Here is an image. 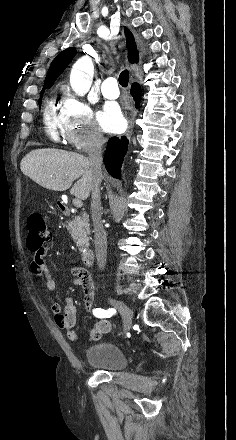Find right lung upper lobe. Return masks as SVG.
<instances>
[{
	"label": "right lung upper lobe",
	"instance_id": "right-lung-upper-lobe-1",
	"mask_svg": "<svg viewBox=\"0 0 236 440\" xmlns=\"http://www.w3.org/2000/svg\"><path fill=\"white\" fill-rule=\"evenodd\" d=\"M124 32L126 35V44L128 45V61L130 63H138L139 61V51L137 49V45L134 39L132 32L124 27ZM76 50L75 48H67L66 50L59 53L56 58L53 60L50 68L48 70L47 76L44 82V88L41 91V95H43L44 89L49 86L51 87L57 77L63 72V70L70 63L72 58L75 56Z\"/></svg>",
	"mask_w": 236,
	"mask_h": 440
}]
</instances>
